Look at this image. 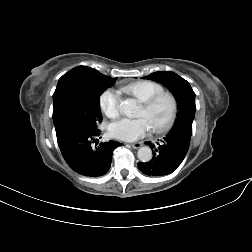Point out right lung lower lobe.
<instances>
[{
	"mask_svg": "<svg viewBox=\"0 0 252 252\" xmlns=\"http://www.w3.org/2000/svg\"><path fill=\"white\" fill-rule=\"evenodd\" d=\"M99 133L98 129L89 130L76 126L56 131L63 158L78 174L87 177H99L106 174L111 166L113 151L122 145L116 141H109L93 147L92 140Z\"/></svg>",
	"mask_w": 252,
	"mask_h": 252,
	"instance_id": "1",
	"label": "right lung lower lobe"
}]
</instances>
